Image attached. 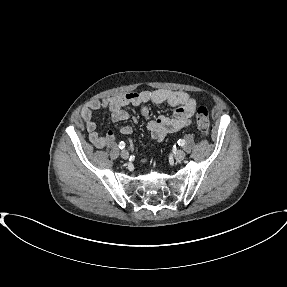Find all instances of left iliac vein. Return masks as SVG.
Masks as SVG:
<instances>
[{"label": "left iliac vein", "instance_id": "1", "mask_svg": "<svg viewBox=\"0 0 287 287\" xmlns=\"http://www.w3.org/2000/svg\"><path fill=\"white\" fill-rule=\"evenodd\" d=\"M185 152L183 150H177L174 154V158L177 161H182L185 158Z\"/></svg>", "mask_w": 287, "mask_h": 287}]
</instances>
